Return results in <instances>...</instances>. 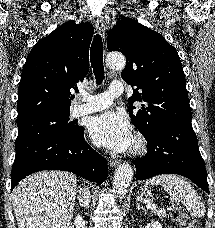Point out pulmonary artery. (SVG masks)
<instances>
[{
  "label": "pulmonary artery",
  "mask_w": 215,
  "mask_h": 228,
  "mask_svg": "<svg viewBox=\"0 0 215 228\" xmlns=\"http://www.w3.org/2000/svg\"><path fill=\"white\" fill-rule=\"evenodd\" d=\"M107 89L110 90L98 95H89L84 92L80 93L75 98L74 105L71 108V116L79 117L108 108L115 97L122 95L124 85L122 82L107 84Z\"/></svg>",
  "instance_id": "1"
}]
</instances>
